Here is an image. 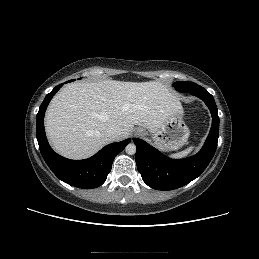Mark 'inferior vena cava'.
<instances>
[{"mask_svg": "<svg viewBox=\"0 0 259 259\" xmlns=\"http://www.w3.org/2000/svg\"><path fill=\"white\" fill-rule=\"evenodd\" d=\"M121 134V128L117 125L108 127L105 131V136L112 142L118 139Z\"/></svg>", "mask_w": 259, "mask_h": 259, "instance_id": "obj_1", "label": "inferior vena cava"}]
</instances>
